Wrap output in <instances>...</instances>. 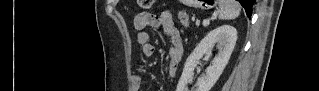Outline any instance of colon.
Returning a JSON list of instances; mask_svg holds the SVG:
<instances>
[{"instance_id":"5ec220e1","label":"colon","mask_w":319,"mask_h":91,"mask_svg":"<svg viewBox=\"0 0 319 91\" xmlns=\"http://www.w3.org/2000/svg\"><path fill=\"white\" fill-rule=\"evenodd\" d=\"M140 6L143 8V9H149L151 8V6L153 5L154 1L152 0H140Z\"/></svg>"}]
</instances>
